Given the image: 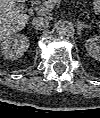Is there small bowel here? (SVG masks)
Wrapping results in <instances>:
<instances>
[{"label": "small bowel", "instance_id": "1", "mask_svg": "<svg viewBox=\"0 0 100 118\" xmlns=\"http://www.w3.org/2000/svg\"><path fill=\"white\" fill-rule=\"evenodd\" d=\"M98 0L95 2V5H94V8L97 10L98 9V7H99V5H98Z\"/></svg>", "mask_w": 100, "mask_h": 118}]
</instances>
